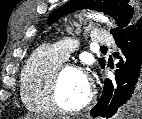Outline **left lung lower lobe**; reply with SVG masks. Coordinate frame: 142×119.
Instances as JSON below:
<instances>
[{
    "mask_svg": "<svg viewBox=\"0 0 142 119\" xmlns=\"http://www.w3.org/2000/svg\"><path fill=\"white\" fill-rule=\"evenodd\" d=\"M124 59L117 64V86L105 79L103 93L90 114L111 118L118 110L138 114L142 110V18L113 35Z\"/></svg>",
    "mask_w": 142,
    "mask_h": 119,
    "instance_id": "left-lung-lower-lobe-1",
    "label": "left lung lower lobe"
}]
</instances>
